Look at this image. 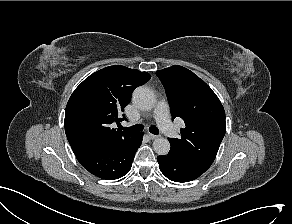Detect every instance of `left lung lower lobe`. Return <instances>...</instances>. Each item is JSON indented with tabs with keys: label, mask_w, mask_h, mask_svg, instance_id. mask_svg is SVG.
Here are the masks:
<instances>
[{
	"label": "left lung lower lobe",
	"mask_w": 292,
	"mask_h": 224,
	"mask_svg": "<svg viewBox=\"0 0 292 224\" xmlns=\"http://www.w3.org/2000/svg\"><path fill=\"white\" fill-rule=\"evenodd\" d=\"M157 161L161 172L175 182L194 180L206 171L189 158L172 150L165 156H158Z\"/></svg>",
	"instance_id": "obj_1"
}]
</instances>
